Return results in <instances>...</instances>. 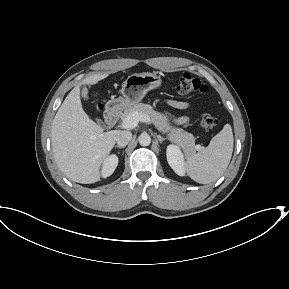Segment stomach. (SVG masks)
I'll return each instance as SVG.
<instances>
[{"label": "stomach", "instance_id": "1", "mask_svg": "<svg viewBox=\"0 0 289 289\" xmlns=\"http://www.w3.org/2000/svg\"><path fill=\"white\" fill-rule=\"evenodd\" d=\"M162 79L156 73H135L129 75L120 90L121 96L109 101L108 107L120 110L140 102L147 92L160 87Z\"/></svg>", "mask_w": 289, "mask_h": 289}]
</instances>
